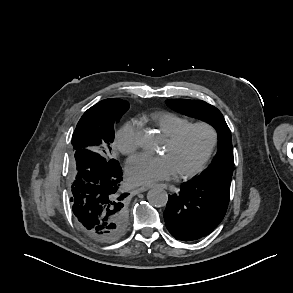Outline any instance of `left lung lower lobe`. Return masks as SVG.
I'll return each instance as SVG.
<instances>
[{
    "label": "left lung lower lobe",
    "mask_w": 293,
    "mask_h": 293,
    "mask_svg": "<svg viewBox=\"0 0 293 293\" xmlns=\"http://www.w3.org/2000/svg\"><path fill=\"white\" fill-rule=\"evenodd\" d=\"M231 180L195 178L169 195L164 212L168 231L178 240L193 241L212 232L223 220L230 198Z\"/></svg>",
    "instance_id": "1"
}]
</instances>
